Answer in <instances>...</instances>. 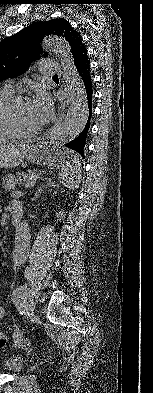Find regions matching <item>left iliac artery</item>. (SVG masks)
Segmentation results:
<instances>
[{"label": "left iliac artery", "mask_w": 153, "mask_h": 393, "mask_svg": "<svg viewBox=\"0 0 153 393\" xmlns=\"http://www.w3.org/2000/svg\"><path fill=\"white\" fill-rule=\"evenodd\" d=\"M26 287L24 286H20L18 288H16V290L13 293L14 296V303L17 307V309L19 310L20 314L25 313V311H23V303H25L26 299H27V294H26ZM20 299L23 300V303L20 301Z\"/></svg>", "instance_id": "44dca946"}]
</instances>
